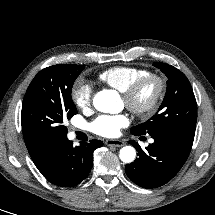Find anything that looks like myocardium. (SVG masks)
Here are the masks:
<instances>
[{
    "label": "myocardium",
    "mask_w": 215,
    "mask_h": 215,
    "mask_svg": "<svg viewBox=\"0 0 215 215\" xmlns=\"http://www.w3.org/2000/svg\"><path fill=\"white\" fill-rule=\"evenodd\" d=\"M148 84L155 87L151 99L146 103H140L138 96ZM166 91V80L158 73H147L135 80L122 92L123 100L127 108L141 118L152 116L158 109Z\"/></svg>",
    "instance_id": "obj_1"
}]
</instances>
